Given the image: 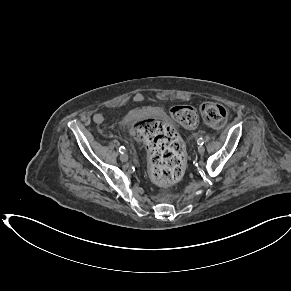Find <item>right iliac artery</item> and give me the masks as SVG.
Instances as JSON below:
<instances>
[{
    "label": "right iliac artery",
    "instance_id": "obj_1",
    "mask_svg": "<svg viewBox=\"0 0 291 291\" xmlns=\"http://www.w3.org/2000/svg\"><path fill=\"white\" fill-rule=\"evenodd\" d=\"M119 152L121 154H123L125 152V147H123V146L119 147Z\"/></svg>",
    "mask_w": 291,
    "mask_h": 291
}]
</instances>
